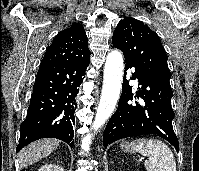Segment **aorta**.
I'll return each mask as SVG.
<instances>
[{
	"label": "aorta",
	"instance_id": "762f6f07",
	"mask_svg": "<svg viewBox=\"0 0 199 171\" xmlns=\"http://www.w3.org/2000/svg\"><path fill=\"white\" fill-rule=\"evenodd\" d=\"M123 56L118 50L108 53L104 67V80L100 102L92 129L97 131L111 116L119 99L123 79ZM92 135H86L81 142L84 152L90 150Z\"/></svg>",
	"mask_w": 199,
	"mask_h": 171
}]
</instances>
